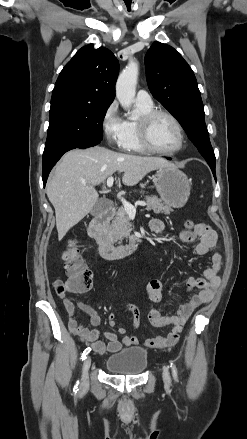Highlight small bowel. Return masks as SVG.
Instances as JSON below:
<instances>
[{
	"label": "small bowel",
	"instance_id": "c3829d8e",
	"mask_svg": "<svg viewBox=\"0 0 247 439\" xmlns=\"http://www.w3.org/2000/svg\"><path fill=\"white\" fill-rule=\"evenodd\" d=\"M150 229L155 233H161L165 230V224L160 219L150 221ZM179 240L184 245L195 244V252L200 256L208 255L219 245L216 232L204 223L197 224L194 230H183L179 234ZM222 257L218 252L211 256V265L204 271V278L190 277L187 280L189 290L198 289L188 302L182 304L175 315L164 314L161 309L154 308L151 310L149 319L152 325L156 327L172 326V331L167 336H155L147 339L143 345L150 348H166L175 345L183 330L184 325L191 314L200 306L208 303L214 296L216 289L220 284L219 271L222 267ZM56 294L62 300L68 317V326L70 331L78 336L80 340L89 345L93 352L98 355L106 353H115L122 347L138 345L139 341L135 336L126 335V329L122 326L117 327V332L123 336L119 340L113 332L100 331L96 327L101 322L99 313L90 305L83 301L75 300L68 296L71 292L70 279L54 282ZM149 299L154 303L163 301V285L159 279H152L147 284ZM76 308L83 311L90 318L92 329L85 328L76 319ZM122 310L132 313L133 328L136 330L140 324V314L134 305H125ZM108 325L116 327V312H111L107 317ZM104 336L107 342L100 340Z\"/></svg>",
	"mask_w": 247,
	"mask_h": 439
}]
</instances>
